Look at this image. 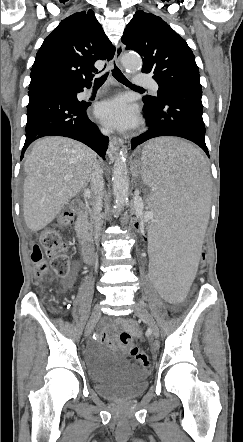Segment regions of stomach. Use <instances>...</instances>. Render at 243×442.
<instances>
[{
    "instance_id": "1",
    "label": "stomach",
    "mask_w": 243,
    "mask_h": 442,
    "mask_svg": "<svg viewBox=\"0 0 243 442\" xmlns=\"http://www.w3.org/2000/svg\"><path fill=\"white\" fill-rule=\"evenodd\" d=\"M159 139H160V138H159ZM137 165H141V164H140V161H134L133 164H132V172H133V175H135V171H136V167H137Z\"/></svg>"
}]
</instances>
